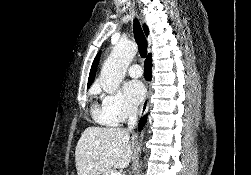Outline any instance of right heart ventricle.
<instances>
[{"label":"right heart ventricle","instance_id":"right-heart-ventricle-1","mask_svg":"<svg viewBox=\"0 0 251 175\" xmlns=\"http://www.w3.org/2000/svg\"><path fill=\"white\" fill-rule=\"evenodd\" d=\"M93 116L94 118L101 124L107 125V126H115L114 123L110 122L102 113V111L98 108L93 109Z\"/></svg>","mask_w":251,"mask_h":175}]
</instances>
